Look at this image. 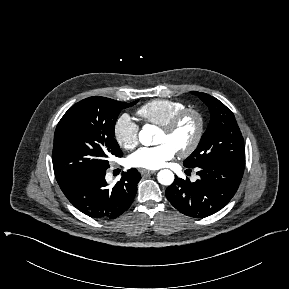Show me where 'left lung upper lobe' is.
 <instances>
[{
	"label": "left lung upper lobe",
	"instance_id": "obj_1",
	"mask_svg": "<svg viewBox=\"0 0 289 289\" xmlns=\"http://www.w3.org/2000/svg\"><path fill=\"white\" fill-rule=\"evenodd\" d=\"M191 93L208 106L211 119L197 149L184 161V166L194 168L218 160L245 163L244 140L233 113L213 96Z\"/></svg>",
	"mask_w": 289,
	"mask_h": 289
}]
</instances>
